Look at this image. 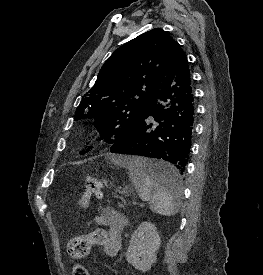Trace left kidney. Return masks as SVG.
Returning a JSON list of instances; mask_svg holds the SVG:
<instances>
[{
  "mask_svg": "<svg viewBox=\"0 0 263 275\" xmlns=\"http://www.w3.org/2000/svg\"><path fill=\"white\" fill-rule=\"evenodd\" d=\"M160 243L156 226L150 222L141 223L131 236L126 252L127 262L141 272L149 271L156 262Z\"/></svg>",
  "mask_w": 263,
  "mask_h": 275,
  "instance_id": "1",
  "label": "left kidney"
}]
</instances>
